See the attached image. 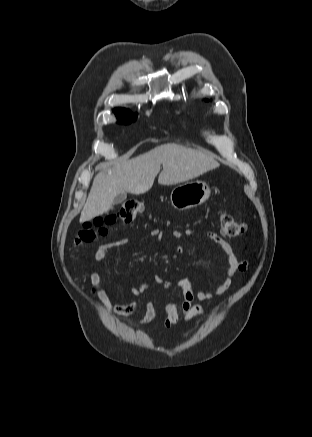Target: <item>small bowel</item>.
Returning <instances> with one entry per match:
<instances>
[{"label":"small bowel","mask_w":312,"mask_h":437,"mask_svg":"<svg viewBox=\"0 0 312 437\" xmlns=\"http://www.w3.org/2000/svg\"><path fill=\"white\" fill-rule=\"evenodd\" d=\"M197 231L194 229H188L185 231L186 235H193ZM153 237L161 238L162 232L160 230H153L151 232ZM172 235L176 239H181L184 233L179 230H174ZM205 235L215 242L221 249L225 260L227 262V269L223 281L216 288L208 291L194 292L191 282L186 278H180L174 283L163 280L160 277H155L154 281L160 284L163 289L168 290L173 286L178 287L183 293V299L180 304L173 301H167L165 303L166 317L163 325V332L174 326L179 320V312L181 311L185 320L189 321L200 317L205 313V307L201 304L205 302L210 305L213 300L223 295L230 287L232 278L237 272H244L247 269V262L240 260L235 255L232 247L229 243L221 239L216 233L206 231ZM130 240L122 239L114 242H107L100 244L94 254V260L96 263L104 261L110 254L113 247L128 245ZM89 280L93 286L94 294L99 300L107 307L108 310L119 314L121 316H129L136 312L138 306L135 302H123L116 294H109L102 285L101 277L98 272L92 271L89 274ZM149 289L147 283L141 284L137 288H132V294L140 295ZM156 317V307L153 301H148L146 304L145 312L141 319L138 321L137 326H145L152 322Z\"/></svg>","instance_id":"1"}]
</instances>
